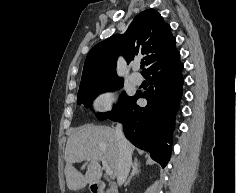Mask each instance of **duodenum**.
Masks as SVG:
<instances>
[{"label": "duodenum", "instance_id": "1", "mask_svg": "<svg viewBox=\"0 0 237 193\" xmlns=\"http://www.w3.org/2000/svg\"><path fill=\"white\" fill-rule=\"evenodd\" d=\"M105 191H106V184L102 181L94 182L91 186L92 193H105Z\"/></svg>", "mask_w": 237, "mask_h": 193}]
</instances>
